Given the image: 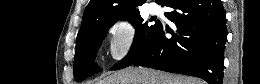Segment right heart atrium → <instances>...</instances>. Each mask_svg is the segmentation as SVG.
Wrapping results in <instances>:
<instances>
[{"label":"right heart atrium","mask_w":260,"mask_h":84,"mask_svg":"<svg viewBox=\"0 0 260 84\" xmlns=\"http://www.w3.org/2000/svg\"><path fill=\"white\" fill-rule=\"evenodd\" d=\"M108 45L111 57L123 61L133 51L137 40V28L133 21L120 18L107 29Z\"/></svg>","instance_id":"d8ad5b80"}]
</instances>
